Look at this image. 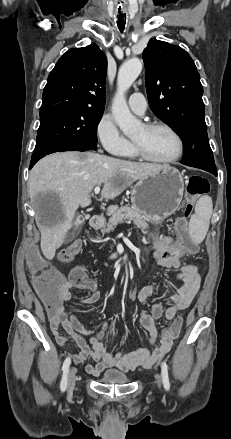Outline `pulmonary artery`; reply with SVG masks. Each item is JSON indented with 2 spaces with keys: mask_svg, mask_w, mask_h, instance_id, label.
<instances>
[{
  "mask_svg": "<svg viewBox=\"0 0 231 439\" xmlns=\"http://www.w3.org/2000/svg\"><path fill=\"white\" fill-rule=\"evenodd\" d=\"M130 109L137 115H144L147 109V102L141 93H133L128 100Z\"/></svg>",
  "mask_w": 231,
  "mask_h": 439,
  "instance_id": "e3ab8cb5",
  "label": "pulmonary artery"
}]
</instances>
